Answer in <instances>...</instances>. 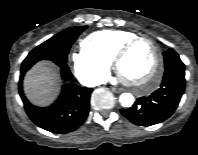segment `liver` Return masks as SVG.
I'll return each instance as SVG.
<instances>
[{"label":"liver","instance_id":"obj_1","mask_svg":"<svg viewBox=\"0 0 198 155\" xmlns=\"http://www.w3.org/2000/svg\"><path fill=\"white\" fill-rule=\"evenodd\" d=\"M59 88L58 70L51 62L41 61L25 75L24 91L29 101L35 105L51 104L57 97Z\"/></svg>","mask_w":198,"mask_h":155}]
</instances>
